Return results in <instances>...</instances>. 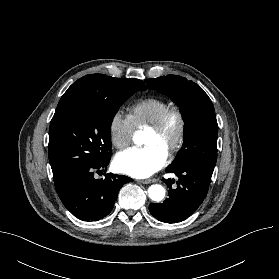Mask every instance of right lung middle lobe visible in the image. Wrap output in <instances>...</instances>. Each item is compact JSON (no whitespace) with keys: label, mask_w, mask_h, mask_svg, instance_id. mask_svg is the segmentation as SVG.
<instances>
[{"label":"right lung middle lobe","mask_w":279,"mask_h":279,"mask_svg":"<svg viewBox=\"0 0 279 279\" xmlns=\"http://www.w3.org/2000/svg\"><path fill=\"white\" fill-rule=\"evenodd\" d=\"M144 90L139 79L87 75L61 97L50 123L48 155L54 181L111 158V122L119 106Z\"/></svg>","instance_id":"right-lung-middle-lobe-1"}]
</instances>
